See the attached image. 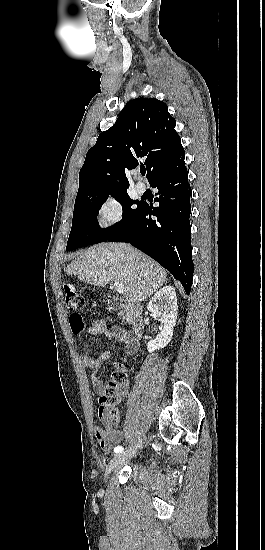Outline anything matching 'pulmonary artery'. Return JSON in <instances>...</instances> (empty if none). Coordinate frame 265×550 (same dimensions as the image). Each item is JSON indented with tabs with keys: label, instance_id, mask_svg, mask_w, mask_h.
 <instances>
[{
	"label": "pulmonary artery",
	"instance_id": "obj_1",
	"mask_svg": "<svg viewBox=\"0 0 265 550\" xmlns=\"http://www.w3.org/2000/svg\"><path fill=\"white\" fill-rule=\"evenodd\" d=\"M136 191L138 194H143L146 191V185L143 182H138L136 184Z\"/></svg>",
	"mask_w": 265,
	"mask_h": 550
}]
</instances>
